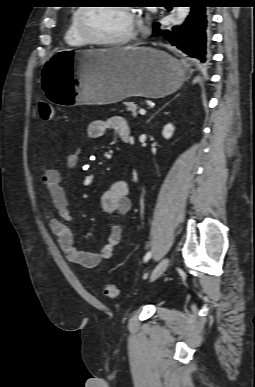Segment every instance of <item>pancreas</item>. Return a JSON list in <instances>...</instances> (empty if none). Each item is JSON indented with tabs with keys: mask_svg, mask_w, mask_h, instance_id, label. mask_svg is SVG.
<instances>
[{
	"mask_svg": "<svg viewBox=\"0 0 255 387\" xmlns=\"http://www.w3.org/2000/svg\"><path fill=\"white\" fill-rule=\"evenodd\" d=\"M124 104L127 106V110L132 113L133 117L137 116L136 109L137 105L133 102H124Z\"/></svg>",
	"mask_w": 255,
	"mask_h": 387,
	"instance_id": "obj_1",
	"label": "pancreas"
}]
</instances>
